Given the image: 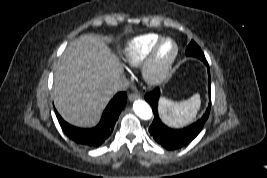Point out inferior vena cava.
Wrapping results in <instances>:
<instances>
[{"label":"inferior vena cava","mask_w":267,"mask_h":178,"mask_svg":"<svg viewBox=\"0 0 267 178\" xmlns=\"http://www.w3.org/2000/svg\"><path fill=\"white\" fill-rule=\"evenodd\" d=\"M128 87L129 81L124 76H121L108 87V90L110 93L115 94L119 91L127 90Z\"/></svg>","instance_id":"inferior-vena-cava-1"}]
</instances>
